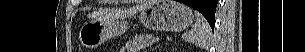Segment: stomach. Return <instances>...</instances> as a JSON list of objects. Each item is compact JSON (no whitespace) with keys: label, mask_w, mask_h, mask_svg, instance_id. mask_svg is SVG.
<instances>
[{"label":"stomach","mask_w":305,"mask_h":52,"mask_svg":"<svg viewBox=\"0 0 305 52\" xmlns=\"http://www.w3.org/2000/svg\"><path fill=\"white\" fill-rule=\"evenodd\" d=\"M138 19L146 28L164 31L179 32L193 23L192 10L173 0H152L140 11ZM129 27V20L116 19L108 21H89L79 31L81 45L94 50L109 39L122 35Z\"/></svg>","instance_id":"1"}]
</instances>
